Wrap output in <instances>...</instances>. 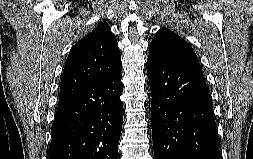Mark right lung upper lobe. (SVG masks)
I'll return each mask as SVG.
<instances>
[{
  "instance_id": "1",
  "label": "right lung upper lobe",
  "mask_w": 253,
  "mask_h": 159,
  "mask_svg": "<svg viewBox=\"0 0 253 159\" xmlns=\"http://www.w3.org/2000/svg\"><path fill=\"white\" fill-rule=\"evenodd\" d=\"M121 69V54L109 25L100 23L72 48L63 70L59 100Z\"/></svg>"
}]
</instances>
